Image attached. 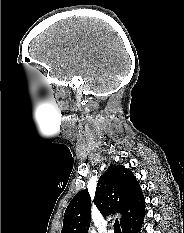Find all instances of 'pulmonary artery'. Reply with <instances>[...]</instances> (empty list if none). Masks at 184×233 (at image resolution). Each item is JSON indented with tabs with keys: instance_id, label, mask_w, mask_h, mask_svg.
<instances>
[{
	"instance_id": "obj_1",
	"label": "pulmonary artery",
	"mask_w": 184,
	"mask_h": 233,
	"mask_svg": "<svg viewBox=\"0 0 184 233\" xmlns=\"http://www.w3.org/2000/svg\"><path fill=\"white\" fill-rule=\"evenodd\" d=\"M108 233H114V231L113 230H109Z\"/></svg>"
}]
</instances>
